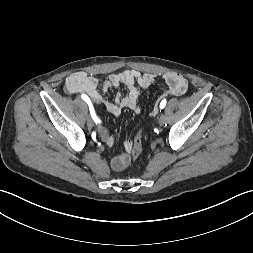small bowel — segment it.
I'll list each match as a JSON object with an SVG mask.
<instances>
[{
    "mask_svg": "<svg viewBox=\"0 0 253 253\" xmlns=\"http://www.w3.org/2000/svg\"><path fill=\"white\" fill-rule=\"evenodd\" d=\"M160 78L168 85V93L174 96H181L188 89L187 80L177 72H166L160 75ZM157 80V76L151 73H140L134 69H126L118 73H112L103 82L89 75L84 71H78L70 74L65 81V89L70 94L83 93L87 94L93 103L102 104L105 109L119 116L123 109L127 108L134 111L136 114L141 113V108L138 104V98L142 89H147L152 86ZM125 86L128 90L127 94L123 95L118 92L113 101L105 97V93L111 88ZM154 111L153 115H155ZM100 138L110 147L117 144L115 137L105 127L98 129ZM131 141L127 140L122 143L124 153L115 156L111 161V167L115 171L123 170L129 163L128 153L131 148Z\"/></svg>",
    "mask_w": 253,
    "mask_h": 253,
    "instance_id": "c3829d8e",
    "label": "small bowel"
}]
</instances>
